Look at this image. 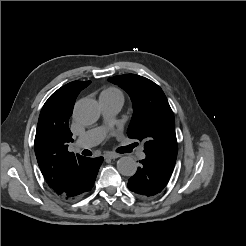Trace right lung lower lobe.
<instances>
[{"mask_svg":"<svg viewBox=\"0 0 246 246\" xmlns=\"http://www.w3.org/2000/svg\"><path fill=\"white\" fill-rule=\"evenodd\" d=\"M103 157L81 160L65 177L63 183L53 191L61 198L74 200L90 191L94 185Z\"/></svg>","mask_w":246,"mask_h":246,"instance_id":"obj_1","label":"right lung lower lobe"}]
</instances>
